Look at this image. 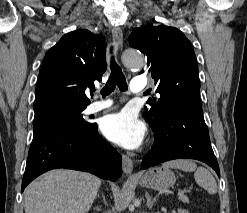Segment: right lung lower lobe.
Listing matches in <instances>:
<instances>
[{
    "mask_svg": "<svg viewBox=\"0 0 247 213\" xmlns=\"http://www.w3.org/2000/svg\"><path fill=\"white\" fill-rule=\"evenodd\" d=\"M121 161V155L99 135L96 123H41L34 129L22 192L33 179L55 168L90 172L116 181L122 175Z\"/></svg>",
    "mask_w": 247,
    "mask_h": 213,
    "instance_id": "1",
    "label": "right lung lower lobe"
}]
</instances>
